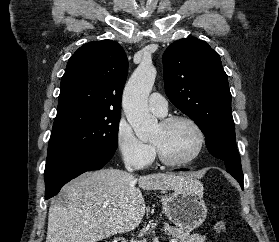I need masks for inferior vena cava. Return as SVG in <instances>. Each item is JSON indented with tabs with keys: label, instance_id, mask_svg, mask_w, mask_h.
I'll use <instances>...</instances> for the list:
<instances>
[{
	"label": "inferior vena cava",
	"instance_id": "602c4592",
	"mask_svg": "<svg viewBox=\"0 0 279 242\" xmlns=\"http://www.w3.org/2000/svg\"><path fill=\"white\" fill-rule=\"evenodd\" d=\"M126 169H127L129 172H132V171H133V169L131 168L130 165H126Z\"/></svg>",
	"mask_w": 279,
	"mask_h": 242
}]
</instances>
